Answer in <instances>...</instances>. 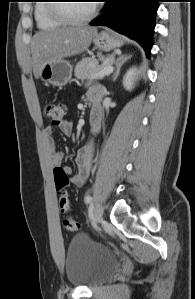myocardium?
<instances>
[{
	"label": "myocardium",
	"instance_id": "myocardium-1",
	"mask_svg": "<svg viewBox=\"0 0 195 299\" xmlns=\"http://www.w3.org/2000/svg\"><path fill=\"white\" fill-rule=\"evenodd\" d=\"M64 2V1H56ZM66 3H52L50 5V12L52 16L66 24H83L91 21L98 13V6L93 3L90 12L83 17H75L65 11Z\"/></svg>",
	"mask_w": 195,
	"mask_h": 299
}]
</instances>
